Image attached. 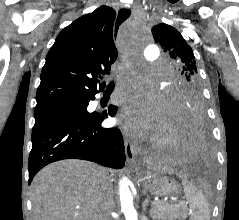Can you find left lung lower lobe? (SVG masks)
Masks as SVG:
<instances>
[{
	"label": "left lung lower lobe",
	"instance_id": "obj_1",
	"mask_svg": "<svg viewBox=\"0 0 239 220\" xmlns=\"http://www.w3.org/2000/svg\"><path fill=\"white\" fill-rule=\"evenodd\" d=\"M175 134L173 159L183 165L197 166L212 156L209 129L201 107L171 115Z\"/></svg>",
	"mask_w": 239,
	"mask_h": 220
}]
</instances>
